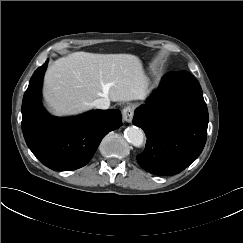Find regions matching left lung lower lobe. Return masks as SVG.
<instances>
[{
  "label": "left lung lower lobe",
  "instance_id": "0a47b994",
  "mask_svg": "<svg viewBox=\"0 0 243 243\" xmlns=\"http://www.w3.org/2000/svg\"><path fill=\"white\" fill-rule=\"evenodd\" d=\"M133 124L146 134L140 166L156 175H174L202 152L208 110L199 82L189 72L167 73L145 105L135 110Z\"/></svg>",
  "mask_w": 243,
  "mask_h": 243
}]
</instances>
